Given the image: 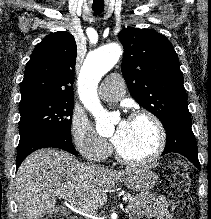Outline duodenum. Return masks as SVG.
Listing matches in <instances>:
<instances>
[{
    "mask_svg": "<svg viewBox=\"0 0 211 219\" xmlns=\"http://www.w3.org/2000/svg\"><path fill=\"white\" fill-rule=\"evenodd\" d=\"M70 219H79V218H77V217H71Z\"/></svg>",
    "mask_w": 211,
    "mask_h": 219,
    "instance_id": "obj_1",
    "label": "duodenum"
}]
</instances>
